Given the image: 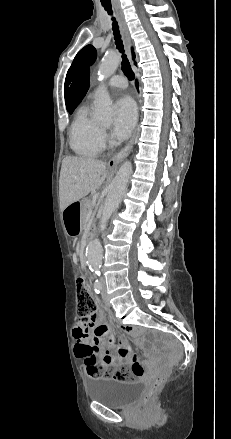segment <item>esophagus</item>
I'll use <instances>...</instances> for the list:
<instances>
[{
  "mask_svg": "<svg viewBox=\"0 0 231 439\" xmlns=\"http://www.w3.org/2000/svg\"><path fill=\"white\" fill-rule=\"evenodd\" d=\"M117 13L119 16V20H120V25H121V31H122V36H123V40H124V45H125V49H126V53L128 56V59L130 62H132V57H131V46H132V41H131V37H130V33L127 27V24L125 22L124 19V15L123 12L121 11L120 8H117ZM139 118H140V105L138 107V113H137V123H136V127L134 130V133L132 135V138L130 140V142L128 143V145L118 154L114 155L113 157H111L107 163V166L109 169H116L120 160L123 158V156L131 150L134 140L136 138L137 132H138V128H139Z\"/></svg>",
  "mask_w": 231,
  "mask_h": 439,
  "instance_id": "obj_1",
  "label": "esophagus"
}]
</instances>
